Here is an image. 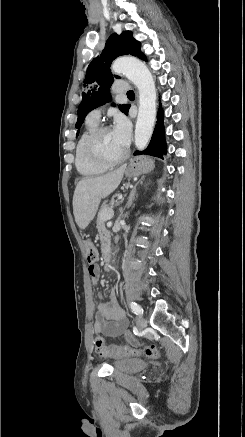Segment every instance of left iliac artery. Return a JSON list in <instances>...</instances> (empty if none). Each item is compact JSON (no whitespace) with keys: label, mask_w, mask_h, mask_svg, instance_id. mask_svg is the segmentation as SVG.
<instances>
[{"label":"left iliac artery","mask_w":245,"mask_h":437,"mask_svg":"<svg viewBox=\"0 0 245 437\" xmlns=\"http://www.w3.org/2000/svg\"><path fill=\"white\" fill-rule=\"evenodd\" d=\"M130 308L132 309V311H133L135 314H142V313H143V309L140 307V305H138V304L135 303V302H131V303H130Z\"/></svg>","instance_id":"obj_1"}]
</instances>
